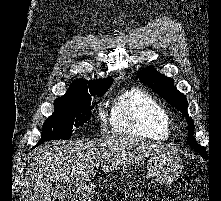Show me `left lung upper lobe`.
Returning <instances> with one entry per match:
<instances>
[{
    "label": "left lung upper lobe",
    "instance_id": "left-lung-upper-lobe-1",
    "mask_svg": "<svg viewBox=\"0 0 221 201\" xmlns=\"http://www.w3.org/2000/svg\"><path fill=\"white\" fill-rule=\"evenodd\" d=\"M140 80L149 85L156 93L163 97L169 104L180 110L183 114L187 113V99L180 93L173 84V79L157 72L154 68L148 67L138 73ZM188 123V144L205 159L208 158L204 147L199 145L193 137L194 122L189 116L186 117Z\"/></svg>",
    "mask_w": 221,
    "mask_h": 201
}]
</instances>
